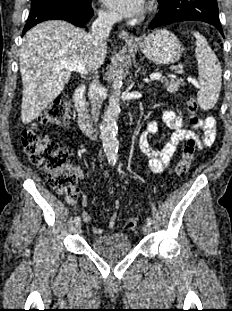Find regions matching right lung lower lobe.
<instances>
[{
  "label": "right lung lower lobe",
  "instance_id": "right-lung-lower-lobe-1",
  "mask_svg": "<svg viewBox=\"0 0 232 311\" xmlns=\"http://www.w3.org/2000/svg\"><path fill=\"white\" fill-rule=\"evenodd\" d=\"M91 5L80 6L62 0H45L31 5L23 35L34 25L53 19L68 21L76 26H82L93 16Z\"/></svg>",
  "mask_w": 232,
  "mask_h": 311
}]
</instances>
